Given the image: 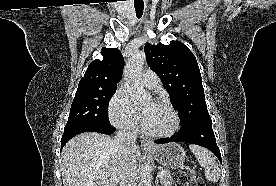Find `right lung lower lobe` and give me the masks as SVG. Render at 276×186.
Segmentation results:
<instances>
[{
	"label": "right lung lower lobe",
	"mask_w": 276,
	"mask_h": 186,
	"mask_svg": "<svg viewBox=\"0 0 276 186\" xmlns=\"http://www.w3.org/2000/svg\"><path fill=\"white\" fill-rule=\"evenodd\" d=\"M98 132L110 135L114 133L115 128L111 124H98V123H78L64 128V133L61 141V149L64 145L74 136L83 132Z\"/></svg>",
	"instance_id": "obj_1"
}]
</instances>
